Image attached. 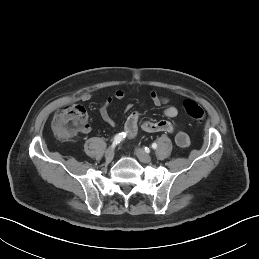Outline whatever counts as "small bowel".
<instances>
[{
	"label": "small bowel",
	"instance_id": "c3829d8e",
	"mask_svg": "<svg viewBox=\"0 0 259 259\" xmlns=\"http://www.w3.org/2000/svg\"><path fill=\"white\" fill-rule=\"evenodd\" d=\"M127 92L124 89H118L114 93V97L116 99H123L126 96ZM93 97V94L90 92H83L78 96V99L81 101H89ZM150 97L154 104L160 105L166 101V98L160 95L157 91H152L150 93ZM111 103V98H108L99 108V113L102 118V120L110 125H115V120L109 113V106ZM163 115L168 118H175L178 115V110L173 105H168L163 110ZM138 126H141V128L149 133H168V134H174V139L176 144L179 147L185 148L190 145V137L187 133L183 131H176L175 126L173 123H171L169 120H160L156 122H150V121H141V115L137 111L131 112L124 124V133L125 137L128 139H132L136 136L138 131ZM82 131L84 133H88L90 131V126L86 125Z\"/></svg>",
	"mask_w": 259,
	"mask_h": 259
}]
</instances>
